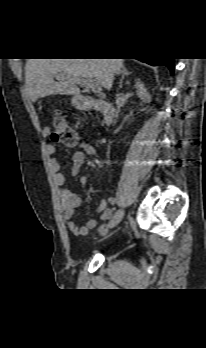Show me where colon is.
Masks as SVG:
<instances>
[{"label": "colon", "mask_w": 206, "mask_h": 348, "mask_svg": "<svg viewBox=\"0 0 206 348\" xmlns=\"http://www.w3.org/2000/svg\"><path fill=\"white\" fill-rule=\"evenodd\" d=\"M49 136L54 142H62L68 145H74L77 142L75 130L58 113L52 116Z\"/></svg>", "instance_id": "5ec220e1"}]
</instances>
